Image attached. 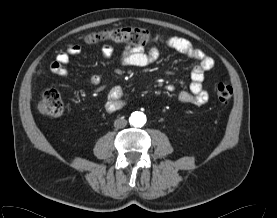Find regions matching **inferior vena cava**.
<instances>
[{
  "instance_id": "1",
  "label": "inferior vena cava",
  "mask_w": 277,
  "mask_h": 218,
  "mask_svg": "<svg viewBox=\"0 0 277 218\" xmlns=\"http://www.w3.org/2000/svg\"><path fill=\"white\" fill-rule=\"evenodd\" d=\"M127 125V120L125 119H116L114 121V127L117 129L124 128Z\"/></svg>"
}]
</instances>
